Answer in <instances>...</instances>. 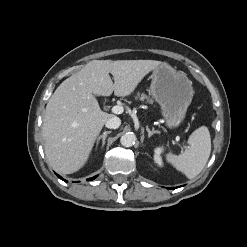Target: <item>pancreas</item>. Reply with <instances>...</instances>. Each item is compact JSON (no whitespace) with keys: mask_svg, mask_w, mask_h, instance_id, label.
<instances>
[{"mask_svg":"<svg viewBox=\"0 0 247 247\" xmlns=\"http://www.w3.org/2000/svg\"><path fill=\"white\" fill-rule=\"evenodd\" d=\"M136 98H139L141 101H145L146 100L148 103H152L153 102L151 99L148 98L147 95H145L143 93L141 95L138 94Z\"/></svg>","mask_w":247,"mask_h":247,"instance_id":"pancreas-1","label":"pancreas"}]
</instances>
